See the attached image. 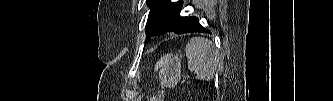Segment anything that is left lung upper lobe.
Returning <instances> with one entry per match:
<instances>
[{
    "label": "left lung upper lobe",
    "instance_id": "5c2ea615",
    "mask_svg": "<svg viewBox=\"0 0 333 101\" xmlns=\"http://www.w3.org/2000/svg\"><path fill=\"white\" fill-rule=\"evenodd\" d=\"M151 7L146 24V34L148 41L153 35L166 32H173L180 24L181 8L169 0H147Z\"/></svg>",
    "mask_w": 333,
    "mask_h": 101
}]
</instances>
